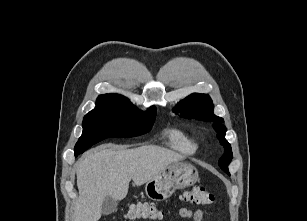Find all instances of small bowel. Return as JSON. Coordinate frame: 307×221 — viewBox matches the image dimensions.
Listing matches in <instances>:
<instances>
[{
    "mask_svg": "<svg viewBox=\"0 0 307 221\" xmlns=\"http://www.w3.org/2000/svg\"><path fill=\"white\" fill-rule=\"evenodd\" d=\"M178 214L185 219H190L192 221H202L203 212L201 210H191L185 207L178 208Z\"/></svg>",
    "mask_w": 307,
    "mask_h": 221,
    "instance_id": "c3829d8e",
    "label": "small bowel"
}]
</instances>
